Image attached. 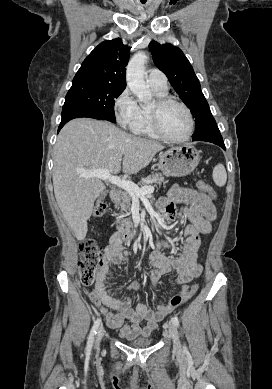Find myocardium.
I'll list each match as a JSON object with an SVG mask.
<instances>
[{
	"mask_svg": "<svg viewBox=\"0 0 272 389\" xmlns=\"http://www.w3.org/2000/svg\"><path fill=\"white\" fill-rule=\"evenodd\" d=\"M171 104H175V105H178L181 108H183V110L186 112L188 120H189V128H188L187 133L179 138L170 137L169 135H167L163 131V129L161 127V121H160L161 111L165 107H167L168 105H171ZM149 115H150V120H151V126H152L154 133L160 139H162L164 141L172 142V143H181V142L187 141L194 133L195 121H194L193 114H192L190 108L180 100H177V99L172 98V97H167V96L158 98L154 103V107L149 109Z\"/></svg>",
	"mask_w": 272,
	"mask_h": 389,
	"instance_id": "obj_1",
	"label": "myocardium"
}]
</instances>
